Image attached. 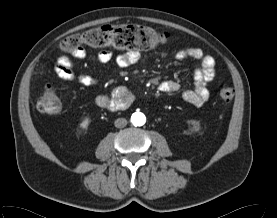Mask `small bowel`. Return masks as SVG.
<instances>
[{
	"label": "small bowel",
	"mask_w": 277,
	"mask_h": 218,
	"mask_svg": "<svg viewBox=\"0 0 277 218\" xmlns=\"http://www.w3.org/2000/svg\"><path fill=\"white\" fill-rule=\"evenodd\" d=\"M73 58L84 60L89 58L91 61L99 64H106L113 60L112 52L102 50L95 54L88 55L84 48H80L72 53ZM176 58L181 60L191 58L200 61L201 66L193 73L194 88L182 93L183 99L195 106H202L209 99V91L207 84L213 80L216 75L215 60L212 56L204 54V52L196 47H185L176 54ZM144 58L136 52H125L118 54L115 58V64L119 68H126L144 62ZM55 73L65 80H76L86 87H94L98 84V80L88 74H77L74 69V62L68 56H61L54 65ZM158 89L161 92H177L181 89V85L175 81H163L159 84ZM117 96H123L127 93L125 87L119 86L114 89Z\"/></svg>",
	"instance_id": "obj_1"
}]
</instances>
